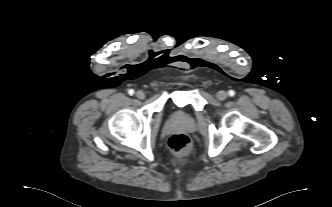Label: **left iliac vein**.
<instances>
[{"instance_id":"left-iliac-vein-1","label":"left iliac vein","mask_w":332,"mask_h":207,"mask_svg":"<svg viewBox=\"0 0 332 207\" xmlns=\"http://www.w3.org/2000/svg\"><path fill=\"white\" fill-rule=\"evenodd\" d=\"M216 97L219 100H225L228 97V93L226 91H219L216 93Z\"/></svg>"}]
</instances>
